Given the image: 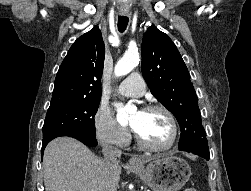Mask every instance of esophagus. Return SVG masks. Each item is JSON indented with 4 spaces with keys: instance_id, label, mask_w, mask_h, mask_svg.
Here are the masks:
<instances>
[{
    "instance_id": "1",
    "label": "esophagus",
    "mask_w": 251,
    "mask_h": 191,
    "mask_svg": "<svg viewBox=\"0 0 251 191\" xmlns=\"http://www.w3.org/2000/svg\"><path fill=\"white\" fill-rule=\"evenodd\" d=\"M122 15H124V12H122ZM129 165L132 166V167H137V166H139V165H140V159L135 158V157L130 158V160H129Z\"/></svg>"
}]
</instances>
